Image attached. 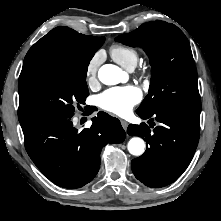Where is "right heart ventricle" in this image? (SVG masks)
Masks as SVG:
<instances>
[{
	"label": "right heart ventricle",
	"instance_id": "obj_1",
	"mask_svg": "<svg viewBox=\"0 0 221 221\" xmlns=\"http://www.w3.org/2000/svg\"><path fill=\"white\" fill-rule=\"evenodd\" d=\"M112 59L126 69H133L138 61V51L130 46L115 44L110 47Z\"/></svg>",
	"mask_w": 221,
	"mask_h": 221
}]
</instances>
